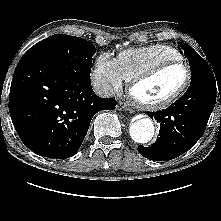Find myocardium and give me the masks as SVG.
<instances>
[{"label": "myocardium", "instance_id": "myocardium-1", "mask_svg": "<svg viewBox=\"0 0 221 221\" xmlns=\"http://www.w3.org/2000/svg\"><path fill=\"white\" fill-rule=\"evenodd\" d=\"M176 65H182L186 68L187 70V76L186 79L183 83V85L171 96L167 97L164 100L157 101V102H147L142 99H140L136 94H135V89L142 83L152 79L155 77L157 74L162 72L163 70L176 66ZM192 78H193V72L191 69V66L184 60H167L164 62H161L159 64L154 65L153 67L149 68L145 72L139 74L135 78H133L130 82L129 85V95L134 102L135 105L138 107L144 109V110H149V111H157V110H162L165 108H168L172 104H174L177 100H179L188 90L192 83Z\"/></svg>", "mask_w": 221, "mask_h": 221}]
</instances>
